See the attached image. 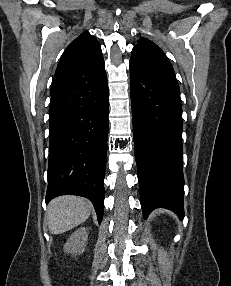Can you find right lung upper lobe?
I'll return each instance as SVG.
<instances>
[{
	"label": "right lung upper lobe",
	"instance_id": "right-lung-upper-lobe-1",
	"mask_svg": "<svg viewBox=\"0 0 231 286\" xmlns=\"http://www.w3.org/2000/svg\"><path fill=\"white\" fill-rule=\"evenodd\" d=\"M105 71L101 46L97 39L83 32L72 41L62 55L55 72L51 95L75 83L94 78Z\"/></svg>",
	"mask_w": 231,
	"mask_h": 286
}]
</instances>
